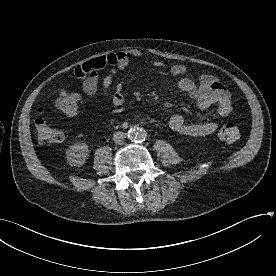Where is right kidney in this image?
Segmentation results:
<instances>
[{"label": "right kidney", "mask_w": 276, "mask_h": 276, "mask_svg": "<svg viewBox=\"0 0 276 276\" xmlns=\"http://www.w3.org/2000/svg\"><path fill=\"white\" fill-rule=\"evenodd\" d=\"M88 145L86 143L77 142L66 151L67 161L71 166H81L88 158Z\"/></svg>", "instance_id": "1"}]
</instances>
